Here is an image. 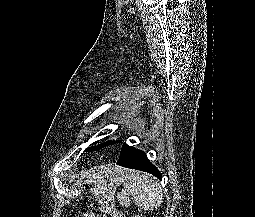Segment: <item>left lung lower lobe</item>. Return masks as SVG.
Here are the masks:
<instances>
[{
  "label": "left lung lower lobe",
  "instance_id": "left-lung-lower-lobe-1",
  "mask_svg": "<svg viewBox=\"0 0 255 217\" xmlns=\"http://www.w3.org/2000/svg\"><path fill=\"white\" fill-rule=\"evenodd\" d=\"M117 164L122 167L141 170L162 179V174L152 163H150L146 154L126 143L122 146Z\"/></svg>",
  "mask_w": 255,
  "mask_h": 217
}]
</instances>
